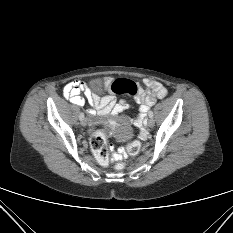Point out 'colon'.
I'll use <instances>...</instances> for the list:
<instances>
[{"instance_id": "5ec220e1", "label": "colon", "mask_w": 233, "mask_h": 233, "mask_svg": "<svg viewBox=\"0 0 233 233\" xmlns=\"http://www.w3.org/2000/svg\"><path fill=\"white\" fill-rule=\"evenodd\" d=\"M111 91L114 94H128L135 96L138 91V85L129 79H116L111 84ZM104 128L101 122H97L93 126V133L90 137L89 143L91 150L94 154L97 162L103 166L108 164L109 153L105 137L102 133ZM141 150V143L139 141H133L127 146V151L130 155H136ZM123 164H118V168H123Z\"/></svg>"}]
</instances>
